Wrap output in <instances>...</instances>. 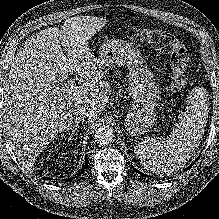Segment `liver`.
<instances>
[{"label":"liver","instance_id":"6515ba94","mask_svg":"<svg viewBox=\"0 0 219 219\" xmlns=\"http://www.w3.org/2000/svg\"><path fill=\"white\" fill-rule=\"evenodd\" d=\"M105 24L104 18L71 17L60 28L32 35L17 52L4 84L2 115L12 149L27 165L72 125L78 105L92 111L93 122L107 104L111 87L88 46ZM73 72L85 82L67 88ZM54 83L63 87L54 90Z\"/></svg>","mask_w":219,"mask_h":219}]
</instances>
